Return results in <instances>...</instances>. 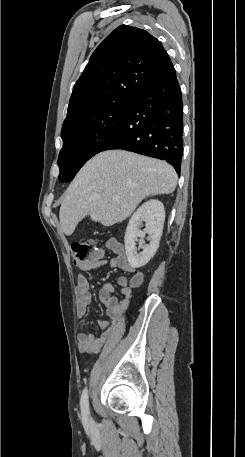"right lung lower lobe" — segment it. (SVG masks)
Masks as SVG:
<instances>
[{
  "instance_id": "1",
  "label": "right lung lower lobe",
  "mask_w": 245,
  "mask_h": 457,
  "mask_svg": "<svg viewBox=\"0 0 245 457\" xmlns=\"http://www.w3.org/2000/svg\"><path fill=\"white\" fill-rule=\"evenodd\" d=\"M183 104L176 73L145 87L101 151L123 149L165 160L180 176Z\"/></svg>"
}]
</instances>
